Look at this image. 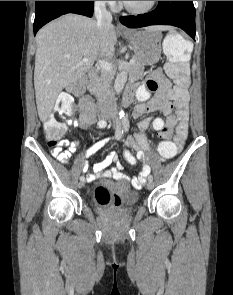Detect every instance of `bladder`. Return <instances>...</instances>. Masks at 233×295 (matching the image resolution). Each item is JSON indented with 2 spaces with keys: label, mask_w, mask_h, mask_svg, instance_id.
<instances>
[{
  "label": "bladder",
  "mask_w": 233,
  "mask_h": 295,
  "mask_svg": "<svg viewBox=\"0 0 233 295\" xmlns=\"http://www.w3.org/2000/svg\"><path fill=\"white\" fill-rule=\"evenodd\" d=\"M139 193L135 190L124 192V207H130L139 201Z\"/></svg>",
  "instance_id": "1"
}]
</instances>
